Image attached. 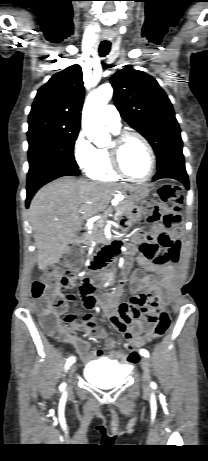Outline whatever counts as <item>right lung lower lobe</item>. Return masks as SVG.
Wrapping results in <instances>:
<instances>
[{"mask_svg":"<svg viewBox=\"0 0 208 461\" xmlns=\"http://www.w3.org/2000/svg\"><path fill=\"white\" fill-rule=\"evenodd\" d=\"M80 174L81 173L78 168H74L60 161L45 162L36 168L29 170L27 178L26 207L29 206L30 200L36 191L46 183L62 176H77Z\"/></svg>","mask_w":208,"mask_h":461,"instance_id":"obj_1","label":"right lung lower lobe"}]
</instances>
